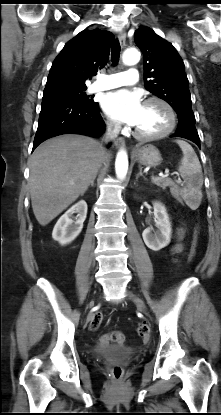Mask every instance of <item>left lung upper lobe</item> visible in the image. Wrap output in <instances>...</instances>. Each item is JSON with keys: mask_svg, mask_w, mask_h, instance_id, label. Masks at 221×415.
I'll use <instances>...</instances> for the list:
<instances>
[{"mask_svg": "<svg viewBox=\"0 0 221 415\" xmlns=\"http://www.w3.org/2000/svg\"><path fill=\"white\" fill-rule=\"evenodd\" d=\"M134 40L144 56L145 88L169 103L179 120H195L185 66L176 49L148 27L139 28Z\"/></svg>", "mask_w": 221, "mask_h": 415, "instance_id": "obj_1", "label": "left lung upper lobe"}]
</instances>
